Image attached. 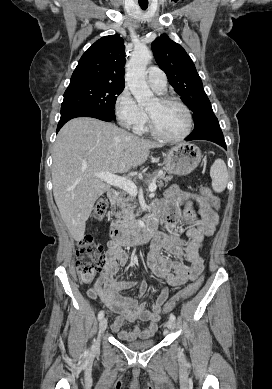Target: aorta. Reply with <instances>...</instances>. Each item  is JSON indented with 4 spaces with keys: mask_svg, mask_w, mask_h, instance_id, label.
Here are the masks:
<instances>
[{
    "mask_svg": "<svg viewBox=\"0 0 272 389\" xmlns=\"http://www.w3.org/2000/svg\"><path fill=\"white\" fill-rule=\"evenodd\" d=\"M152 59L151 51L144 46L136 47L127 63L126 82L140 106L156 101L146 82V67Z\"/></svg>",
    "mask_w": 272,
    "mask_h": 389,
    "instance_id": "1",
    "label": "aorta"
}]
</instances>
